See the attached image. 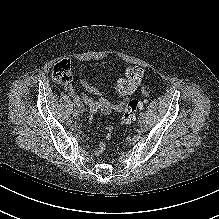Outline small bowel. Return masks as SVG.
I'll list each match as a JSON object with an SVG mask.
<instances>
[{"label":"small bowel","mask_w":219,"mask_h":219,"mask_svg":"<svg viewBox=\"0 0 219 219\" xmlns=\"http://www.w3.org/2000/svg\"><path fill=\"white\" fill-rule=\"evenodd\" d=\"M81 83L89 92H93V93L96 92V90L90 85V83L87 80H83ZM66 89H67L68 94L73 99H76L78 101H83L93 111L100 110L101 105L105 102V100H103V99L94 100L93 98H91V97H89L87 95H80V94H78L75 91V89L73 88L72 85H68ZM145 94L147 95L148 93L146 92ZM121 105L117 106L115 109L118 110L121 107ZM99 152H100V150H98L96 153H99Z\"/></svg>","instance_id":"small-bowel-1"}]
</instances>
